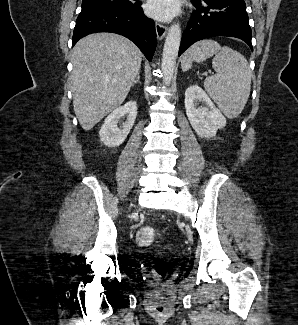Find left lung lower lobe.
<instances>
[{
    "mask_svg": "<svg viewBox=\"0 0 298 325\" xmlns=\"http://www.w3.org/2000/svg\"><path fill=\"white\" fill-rule=\"evenodd\" d=\"M197 7L184 30L179 56L193 43L215 36L236 37L251 48V28L244 0H191Z\"/></svg>",
    "mask_w": 298,
    "mask_h": 325,
    "instance_id": "obj_1",
    "label": "left lung lower lobe"
}]
</instances>
